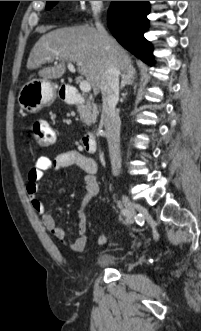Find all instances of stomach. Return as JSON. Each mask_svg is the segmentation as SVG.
Returning a JSON list of instances; mask_svg holds the SVG:
<instances>
[{
	"instance_id": "0dacf381",
	"label": "stomach",
	"mask_w": 201,
	"mask_h": 331,
	"mask_svg": "<svg viewBox=\"0 0 201 331\" xmlns=\"http://www.w3.org/2000/svg\"><path fill=\"white\" fill-rule=\"evenodd\" d=\"M56 97L54 85L45 79H32L25 83L19 92V106L29 113H37L52 104Z\"/></svg>"
}]
</instances>
